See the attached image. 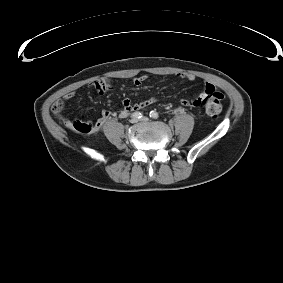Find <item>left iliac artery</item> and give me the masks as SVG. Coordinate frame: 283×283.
Here are the masks:
<instances>
[{"mask_svg":"<svg viewBox=\"0 0 283 283\" xmlns=\"http://www.w3.org/2000/svg\"><path fill=\"white\" fill-rule=\"evenodd\" d=\"M149 116L152 118V119H157L159 117L158 113L156 111H151Z\"/></svg>","mask_w":283,"mask_h":283,"instance_id":"obj_1","label":"left iliac artery"}]
</instances>
